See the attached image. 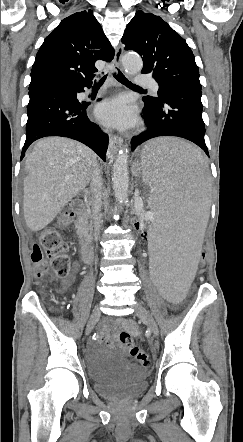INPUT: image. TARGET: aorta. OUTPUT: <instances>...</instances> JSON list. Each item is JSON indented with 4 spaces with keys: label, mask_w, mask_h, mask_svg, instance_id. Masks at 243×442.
I'll return each mask as SVG.
<instances>
[{
    "label": "aorta",
    "mask_w": 243,
    "mask_h": 442,
    "mask_svg": "<svg viewBox=\"0 0 243 442\" xmlns=\"http://www.w3.org/2000/svg\"><path fill=\"white\" fill-rule=\"evenodd\" d=\"M122 65L128 74H136L141 71L142 59L135 54H125L122 58ZM128 148H122L115 158L112 169V182L114 196L118 207L122 206L128 197Z\"/></svg>",
    "instance_id": "1"
}]
</instances>
